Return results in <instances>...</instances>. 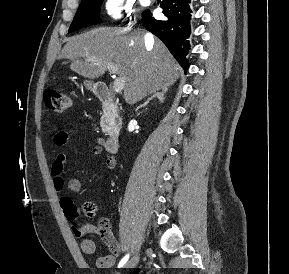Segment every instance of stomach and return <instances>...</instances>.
I'll return each instance as SVG.
<instances>
[{
    "mask_svg": "<svg viewBox=\"0 0 289 274\" xmlns=\"http://www.w3.org/2000/svg\"><path fill=\"white\" fill-rule=\"evenodd\" d=\"M84 85L88 90L95 91L96 85L92 81H84Z\"/></svg>",
    "mask_w": 289,
    "mask_h": 274,
    "instance_id": "obj_1",
    "label": "stomach"
}]
</instances>
